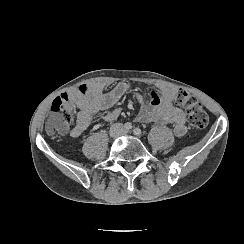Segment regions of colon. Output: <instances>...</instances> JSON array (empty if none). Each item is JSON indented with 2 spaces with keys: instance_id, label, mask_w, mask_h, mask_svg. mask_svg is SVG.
<instances>
[{
  "instance_id": "5ec220e1",
  "label": "colon",
  "mask_w": 244,
  "mask_h": 244,
  "mask_svg": "<svg viewBox=\"0 0 244 244\" xmlns=\"http://www.w3.org/2000/svg\"><path fill=\"white\" fill-rule=\"evenodd\" d=\"M77 93L84 96L92 95V88L85 85L77 86ZM175 102L188 112V120L191 126L197 129H204L209 124V118L198 99L187 91H179L176 94ZM75 107L71 104L68 94L63 93L52 101L50 115L46 122V129L49 133L58 135L69 131L75 115Z\"/></svg>"
}]
</instances>
